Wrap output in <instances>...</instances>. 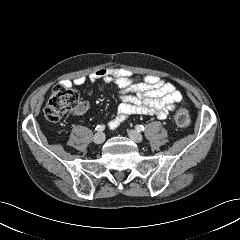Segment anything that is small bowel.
<instances>
[{
  "label": "small bowel",
  "mask_w": 240,
  "mask_h": 240,
  "mask_svg": "<svg viewBox=\"0 0 240 240\" xmlns=\"http://www.w3.org/2000/svg\"><path fill=\"white\" fill-rule=\"evenodd\" d=\"M97 81L113 84L118 89L121 102L115 117L109 123L111 129L139 114H154L159 119H165L182 100L181 92L172 83L157 76L139 78L134 72L121 68H100L87 78L63 80L62 84L69 87L81 86L88 82L90 95ZM87 106V102L81 104L78 113L84 112Z\"/></svg>",
  "instance_id": "small-bowel-1"
}]
</instances>
